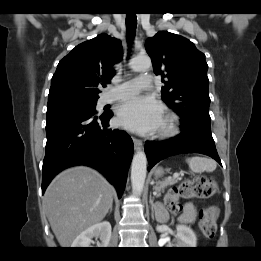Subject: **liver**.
Segmentation results:
<instances>
[{
    "label": "liver",
    "instance_id": "obj_1",
    "mask_svg": "<svg viewBox=\"0 0 261 261\" xmlns=\"http://www.w3.org/2000/svg\"><path fill=\"white\" fill-rule=\"evenodd\" d=\"M113 192L101 174L84 166L67 169L51 182L43 203L61 247H69L79 234L105 218Z\"/></svg>",
    "mask_w": 261,
    "mask_h": 261
}]
</instances>
